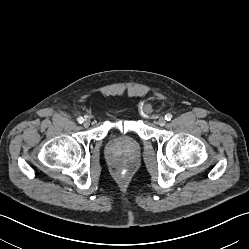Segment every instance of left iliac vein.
Instances as JSON below:
<instances>
[{
    "instance_id": "4c4485c4",
    "label": "left iliac vein",
    "mask_w": 249,
    "mask_h": 249,
    "mask_svg": "<svg viewBox=\"0 0 249 249\" xmlns=\"http://www.w3.org/2000/svg\"><path fill=\"white\" fill-rule=\"evenodd\" d=\"M157 124L160 125V126H164L166 124V120L164 117H160L158 120H157Z\"/></svg>"
}]
</instances>
